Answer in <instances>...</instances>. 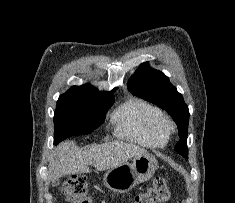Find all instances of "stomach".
Here are the masks:
<instances>
[{
    "mask_svg": "<svg viewBox=\"0 0 235 203\" xmlns=\"http://www.w3.org/2000/svg\"><path fill=\"white\" fill-rule=\"evenodd\" d=\"M158 167L157 160L149 153L134 157L133 162H126L109 169L103 178L104 185L111 191L127 193L139 183L149 180Z\"/></svg>",
    "mask_w": 235,
    "mask_h": 203,
    "instance_id": "1",
    "label": "stomach"
}]
</instances>
